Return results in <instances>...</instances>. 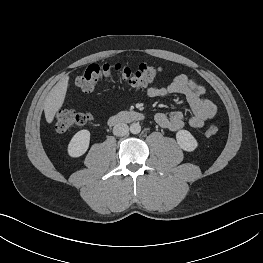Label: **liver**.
Here are the masks:
<instances>
[{"mask_svg":"<svg viewBox=\"0 0 263 263\" xmlns=\"http://www.w3.org/2000/svg\"><path fill=\"white\" fill-rule=\"evenodd\" d=\"M69 77L66 76L59 81L49 92L44 101V113L46 121L50 124L58 110L62 107L68 88Z\"/></svg>","mask_w":263,"mask_h":263,"instance_id":"obj_1","label":"liver"}]
</instances>
